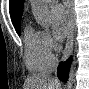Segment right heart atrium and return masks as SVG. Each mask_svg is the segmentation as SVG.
<instances>
[{
	"mask_svg": "<svg viewBox=\"0 0 89 89\" xmlns=\"http://www.w3.org/2000/svg\"><path fill=\"white\" fill-rule=\"evenodd\" d=\"M41 43L44 52L47 55H52L54 48V41L49 30L41 31Z\"/></svg>",
	"mask_w": 89,
	"mask_h": 89,
	"instance_id": "obj_1",
	"label": "right heart atrium"
}]
</instances>
